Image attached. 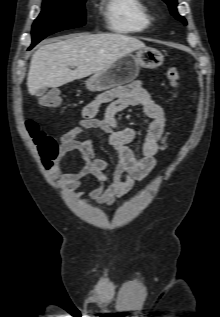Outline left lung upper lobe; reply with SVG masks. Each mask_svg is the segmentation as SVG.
Returning <instances> with one entry per match:
<instances>
[{"instance_id":"obj_1","label":"left lung upper lobe","mask_w":220,"mask_h":317,"mask_svg":"<svg viewBox=\"0 0 220 317\" xmlns=\"http://www.w3.org/2000/svg\"><path fill=\"white\" fill-rule=\"evenodd\" d=\"M166 2L170 8L172 15H174L178 20L182 21L184 24H187L186 20L177 13V0H163Z\"/></svg>"}]
</instances>
